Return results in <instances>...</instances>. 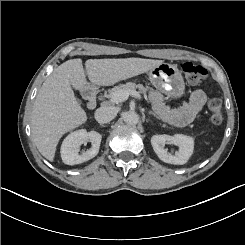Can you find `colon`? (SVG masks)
I'll list each match as a JSON object with an SVG mask.
<instances>
[{
  "label": "colon",
  "instance_id": "obj_1",
  "mask_svg": "<svg viewBox=\"0 0 245 245\" xmlns=\"http://www.w3.org/2000/svg\"><path fill=\"white\" fill-rule=\"evenodd\" d=\"M180 69L186 78L193 84H200L206 78V70L199 65L193 64L189 61H184L180 64ZM207 108L209 112L210 121L214 125H220L223 120L222 104L220 99L213 97L208 99Z\"/></svg>",
  "mask_w": 245,
  "mask_h": 245
}]
</instances>
